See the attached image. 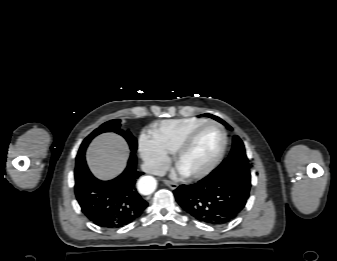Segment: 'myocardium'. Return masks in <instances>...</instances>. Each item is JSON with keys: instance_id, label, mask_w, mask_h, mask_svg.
I'll return each mask as SVG.
<instances>
[{"instance_id": "myocardium-1", "label": "myocardium", "mask_w": 337, "mask_h": 261, "mask_svg": "<svg viewBox=\"0 0 337 261\" xmlns=\"http://www.w3.org/2000/svg\"><path fill=\"white\" fill-rule=\"evenodd\" d=\"M208 126H215L217 127L222 134V145L221 148L219 150V152L217 153V155L214 157V159L204 168H202L201 170H198L196 172H192V173H182L179 170V163L180 160L182 159V157L184 156V154L188 151V149L191 147L192 143L194 142L195 138L197 137V135L206 127ZM227 146H228V134L226 129L224 128V126L222 124H220L217 121L214 120H208L203 122L202 124L196 126L195 128H193L182 140V142L179 144V146L177 147V149L175 150V152L173 153V163L175 165V167L182 173V175L185 178L188 179H200L203 178L207 175H209L222 161L225 152L227 150Z\"/></svg>"}]
</instances>
